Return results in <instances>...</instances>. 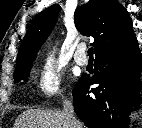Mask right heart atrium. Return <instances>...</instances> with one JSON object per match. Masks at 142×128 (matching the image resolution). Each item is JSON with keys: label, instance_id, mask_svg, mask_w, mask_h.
Instances as JSON below:
<instances>
[{"label": "right heart atrium", "instance_id": "1", "mask_svg": "<svg viewBox=\"0 0 142 128\" xmlns=\"http://www.w3.org/2000/svg\"><path fill=\"white\" fill-rule=\"evenodd\" d=\"M35 85L42 99H52L63 94V72L57 60L45 55L35 70Z\"/></svg>", "mask_w": 142, "mask_h": 128}]
</instances>
